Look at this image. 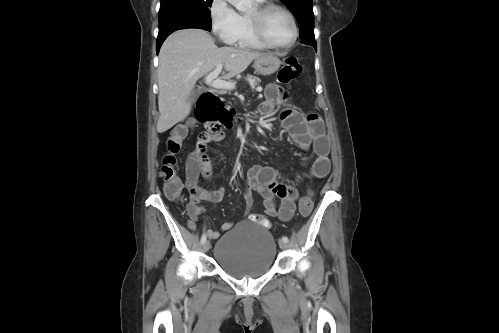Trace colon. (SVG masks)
Masks as SVG:
<instances>
[{"mask_svg":"<svg viewBox=\"0 0 499 333\" xmlns=\"http://www.w3.org/2000/svg\"><path fill=\"white\" fill-rule=\"evenodd\" d=\"M302 72V66L296 58H288L278 73V80L281 83L287 84L295 80ZM216 118L219 123H226L230 117V113L221 106V101L218 97L213 96ZM221 129L218 127L210 129L212 132H218ZM188 133V124H178L170 132L166 141V153L160 168V176L164 183V193L171 199H177L183 191V183L176 172V155L180 152L184 139ZM313 209V190L310 188L308 194L300 199L299 213L303 217L310 215ZM250 221L259 223L263 227L270 229L271 223L264 216L259 214H251Z\"/></svg>","mask_w":499,"mask_h":333,"instance_id":"5ec220e1","label":"colon"}]
</instances>
